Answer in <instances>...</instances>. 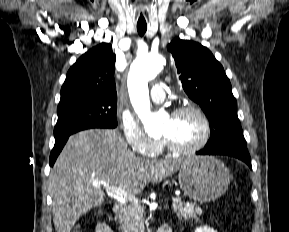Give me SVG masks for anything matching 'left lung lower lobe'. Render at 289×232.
<instances>
[{"mask_svg":"<svg viewBox=\"0 0 289 232\" xmlns=\"http://www.w3.org/2000/svg\"><path fill=\"white\" fill-rule=\"evenodd\" d=\"M200 155H228L236 157L244 161L251 169V159L246 148V145H233V146H224L215 149H202L197 152Z\"/></svg>","mask_w":289,"mask_h":232,"instance_id":"1","label":"left lung lower lobe"}]
</instances>
